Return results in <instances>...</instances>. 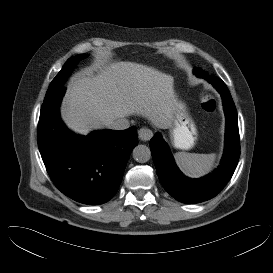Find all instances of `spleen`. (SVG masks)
Masks as SVG:
<instances>
[{
	"instance_id": "1",
	"label": "spleen",
	"mask_w": 273,
	"mask_h": 273,
	"mask_svg": "<svg viewBox=\"0 0 273 273\" xmlns=\"http://www.w3.org/2000/svg\"><path fill=\"white\" fill-rule=\"evenodd\" d=\"M181 170L190 177H199L208 173L214 166L216 154L176 153Z\"/></svg>"
}]
</instances>
